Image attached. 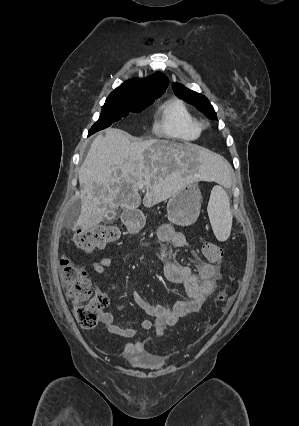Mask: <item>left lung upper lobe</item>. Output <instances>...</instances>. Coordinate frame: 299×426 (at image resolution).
Returning a JSON list of instances; mask_svg holds the SVG:
<instances>
[{"label":"left lung upper lobe","instance_id":"1","mask_svg":"<svg viewBox=\"0 0 299 426\" xmlns=\"http://www.w3.org/2000/svg\"><path fill=\"white\" fill-rule=\"evenodd\" d=\"M173 90L179 98L194 104L210 119H217L216 113L212 105L205 96L197 92L191 91L178 83L173 84Z\"/></svg>","mask_w":299,"mask_h":426}]
</instances>
